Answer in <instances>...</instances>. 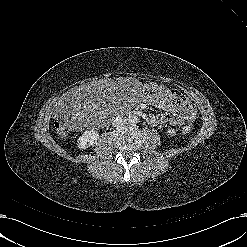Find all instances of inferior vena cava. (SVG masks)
<instances>
[{"mask_svg": "<svg viewBox=\"0 0 247 247\" xmlns=\"http://www.w3.org/2000/svg\"><path fill=\"white\" fill-rule=\"evenodd\" d=\"M126 121H127V120H126V118H124V117H117L116 119L113 120L112 125H113L114 127H117V126H120V125L125 124Z\"/></svg>", "mask_w": 247, "mask_h": 247, "instance_id": "obj_1", "label": "inferior vena cava"}]
</instances>
